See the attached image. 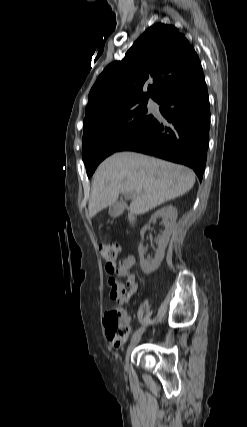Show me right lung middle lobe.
<instances>
[{
    "label": "right lung middle lobe",
    "instance_id": "right-lung-middle-lobe-1",
    "mask_svg": "<svg viewBox=\"0 0 247 427\" xmlns=\"http://www.w3.org/2000/svg\"><path fill=\"white\" fill-rule=\"evenodd\" d=\"M152 119L153 115L147 114L146 104H140L84 129L82 159L88 177L102 160L135 138Z\"/></svg>",
    "mask_w": 247,
    "mask_h": 427
}]
</instances>
